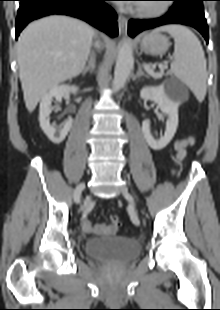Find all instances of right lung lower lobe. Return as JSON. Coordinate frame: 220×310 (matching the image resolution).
Masks as SVG:
<instances>
[{
  "mask_svg": "<svg viewBox=\"0 0 220 310\" xmlns=\"http://www.w3.org/2000/svg\"><path fill=\"white\" fill-rule=\"evenodd\" d=\"M16 39L32 20L51 14H65L82 19L111 37L118 35L117 15L106 0H19Z\"/></svg>",
  "mask_w": 220,
  "mask_h": 310,
  "instance_id": "obj_1",
  "label": "right lung lower lobe"
}]
</instances>
